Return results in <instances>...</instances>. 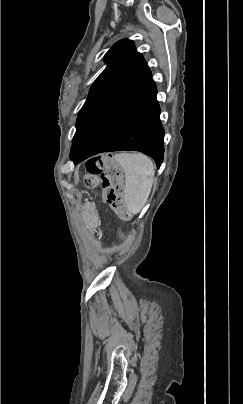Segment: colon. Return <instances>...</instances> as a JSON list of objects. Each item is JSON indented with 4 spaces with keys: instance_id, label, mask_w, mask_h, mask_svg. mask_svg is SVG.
I'll return each instance as SVG.
<instances>
[{
    "instance_id": "obj_1",
    "label": "colon",
    "mask_w": 243,
    "mask_h": 404,
    "mask_svg": "<svg viewBox=\"0 0 243 404\" xmlns=\"http://www.w3.org/2000/svg\"><path fill=\"white\" fill-rule=\"evenodd\" d=\"M85 183L89 187L101 185L104 200L122 216L128 212L123 195V173L119 164L110 156H98L86 164Z\"/></svg>"
}]
</instances>
